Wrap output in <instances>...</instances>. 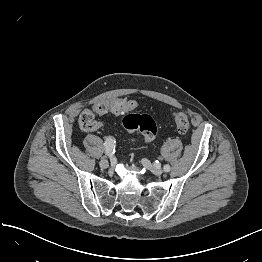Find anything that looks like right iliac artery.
Here are the masks:
<instances>
[{
    "label": "right iliac artery",
    "mask_w": 262,
    "mask_h": 262,
    "mask_svg": "<svg viewBox=\"0 0 262 262\" xmlns=\"http://www.w3.org/2000/svg\"><path fill=\"white\" fill-rule=\"evenodd\" d=\"M115 146H116L115 139L112 136L106 137L104 142L106 155H108L109 157L113 156L115 153Z\"/></svg>",
    "instance_id": "obj_1"
}]
</instances>
